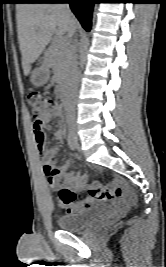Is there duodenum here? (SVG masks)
<instances>
[{"instance_id": "410a0bca", "label": "duodenum", "mask_w": 166, "mask_h": 267, "mask_svg": "<svg viewBox=\"0 0 166 267\" xmlns=\"http://www.w3.org/2000/svg\"><path fill=\"white\" fill-rule=\"evenodd\" d=\"M44 65L46 67V63ZM58 94L60 97V104L62 105L67 96V85L65 83L61 84V86L59 87Z\"/></svg>"}]
</instances>
